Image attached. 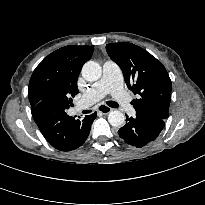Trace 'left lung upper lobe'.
I'll return each mask as SVG.
<instances>
[{
  "label": "left lung upper lobe",
  "mask_w": 205,
  "mask_h": 205,
  "mask_svg": "<svg viewBox=\"0 0 205 205\" xmlns=\"http://www.w3.org/2000/svg\"><path fill=\"white\" fill-rule=\"evenodd\" d=\"M110 58L123 71L129 89L140 97L132 101L137 113L168 117L171 80L165 67L146 50L127 42L106 45Z\"/></svg>",
  "instance_id": "5c2ea615"
}]
</instances>
